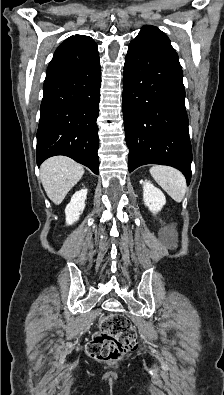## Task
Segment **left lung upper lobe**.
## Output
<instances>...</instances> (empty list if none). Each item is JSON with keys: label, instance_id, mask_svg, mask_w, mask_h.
<instances>
[{"label": "left lung upper lobe", "instance_id": "left-lung-upper-lobe-1", "mask_svg": "<svg viewBox=\"0 0 224 395\" xmlns=\"http://www.w3.org/2000/svg\"><path fill=\"white\" fill-rule=\"evenodd\" d=\"M131 43L147 46L178 58L169 38L164 32L154 26H143L138 36Z\"/></svg>", "mask_w": 224, "mask_h": 395}]
</instances>
